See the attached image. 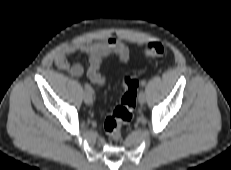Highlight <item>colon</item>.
Wrapping results in <instances>:
<instances>
[{
  "instance_id": "colon-1",
  "label": "colon",
  "mask_w": 231,
  "mask_h": 170,
  "mask_svg": "<svg viewBox=\"0 0 231 170\" xmlns=\"http://www.w3.org/2000/svg\"><path fill=\"white\" fill-rule=\"evenodd\" d=\"M165 52V46L159 42H149L145 46V53L151 58H161ZM123 85L124 94L121 102L106 116L103 125L106 134L115 141L121 137L122 125L131 121L137 102L138 81L131 76H126L123 79Z\"/></svg>"
}]
</instances>
